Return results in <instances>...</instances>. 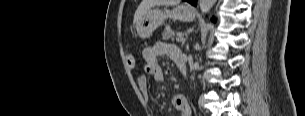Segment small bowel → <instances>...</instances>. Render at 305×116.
Segmentation results:
<instances>
[{"instance_id":"obj_1","label":"small bowel","mask_w":305,"mask_h":116,"mask_svg":"<svg viewBox=\"0 0 305 116\" xmlns=\"http://www.w3.org/2000/svg\"><path fill=\"white\" fill-rule=\"evenodd\" d=\"M164 56L176 62V59L183 55L177 46L166 42H157L153 46L145 48L143 51V59L145 62L144 72L137 76V85L146 101H149L146 74L152 75L157 82L162 81L164 79V71L159 62V58ZM172 104L181 112L182 116L191 115V109L183 95H174Z\"/></svg>"}]
</instances>
